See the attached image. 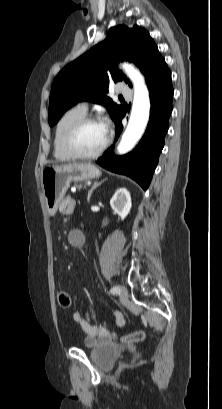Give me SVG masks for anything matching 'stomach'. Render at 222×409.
<instances>
[{
    "label": "stomach",
    "mask_w": 222,
    "mask_h": 409,
    "mask_svg": "<svg viewBox=\"0 0 222 409\" xmlns=\"http://www.w3.org/2000/svg\"><path fill=\"white\" fill-rule=\"evenodd\" d=\"M100 170L91 163H71L62 166H48L42 171V190L49 215L58 210L71 182H82L97 178Z\"/></svg>",
    "instance_id": "1"
}]
</instances>
